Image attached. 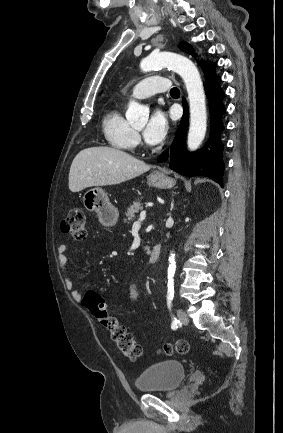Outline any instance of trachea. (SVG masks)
Returning <instances> with one entry per match:
<instances>
[{
	"label": "trachea",
	"instance_id": "1",
	"mask_svg": "<svg viewBox=\"0 0 283 433\" xmlns=\"http://www.w3.org/2000/svg\"><path fill=\"white\" fill-rule=\"evenodd\" d=\"M170 94L171 95H180V91L178 88L174 87V88H171Z\"/></svg>",
	"mask_w": 283,
	"mask_h": 433
}]
</instances>
